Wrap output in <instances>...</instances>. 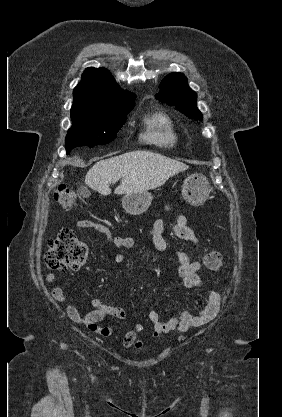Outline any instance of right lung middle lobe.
I'll return each instance as SVG.
<instances>
[{"label":"right lung middle lobe","instance_id":"obj_1","mask_svg":"<svg viewBox=\"0 0 282 417\" xmlns=\"http://www.w3.org/2000/svg\"><path fill=\"white\" fill-rule=\"evenodd\" d=\"M136 96L74 97L72 127L65 139L66 151L77 146L111 142L133 109Z\"/></svg>","mask_w":282,"mask_h":417}]
</instances>
